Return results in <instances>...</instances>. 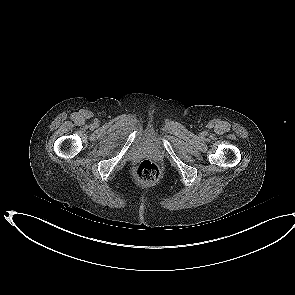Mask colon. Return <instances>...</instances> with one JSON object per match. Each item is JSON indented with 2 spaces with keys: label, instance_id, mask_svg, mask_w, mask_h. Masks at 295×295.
Instances as JSON below:
<instances>
[{
  "label": "colon",
  "instance_id": "1",
  "mask_svg": "<svg viewBox=\"0 0 295 295\" xmlns=\"http://www.w3.org/2000/svg\"><path fill=\"white\" fill-rule=\"evenodd\" d=\"M159 177L160 171L158 166L150 160L142 161L135 170V178L142 185L153 184Z\"/></svg>",
  "mask_w": 295,
  "mask_h": 295
}]
</instances>
